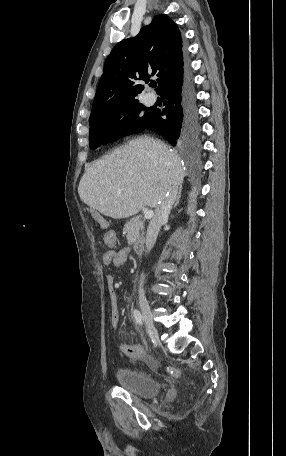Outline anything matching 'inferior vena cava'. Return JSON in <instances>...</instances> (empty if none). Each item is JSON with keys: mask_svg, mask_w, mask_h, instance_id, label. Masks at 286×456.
Listing matches in <instances>:
<instances>
[{"mask_svg": "<svg viewBox=\"0 0 286 456\" xmlns=\"http://www.w3.org/2000/svg\"><path fill=\"white\" fill-rule=\"evenodd\" d=\"M176 198V191H168L165 192L159 202L158 205L155 209V214L153 218L150 220L148 228H147V234H146V240H145V246L148 251L152 249L154 246L158 233L160 231L161 225L165 223L168 220V216L170 214V210L172 208V205L174 203V200ZM144 274L141 275L140 281H139V294L141 296H144L145 292L143 289V283H144Z\"/></svg>", "mask_w": 286, "mask_h": 456, "instance_id": "obj_1", "label": "inferior vena cava"}]
</instances>
